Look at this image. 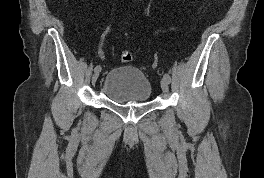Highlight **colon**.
<instances>
[{
    "mask_svg": "<svg viewBox=\"0 0 264 178\" xmlns=\"http://www.w3.org/2000/svg\"><path fill=\"white\" fill-rule=\"evenodd\" d=\"M120 60L122 63H130L133 60V54L129 51H124L120 55Z\"/></svg>",
    "mask_w": 264,
    "mask_h": 178,
    "instance_id": "1",
    "label": "colon"
}]
</instances>
